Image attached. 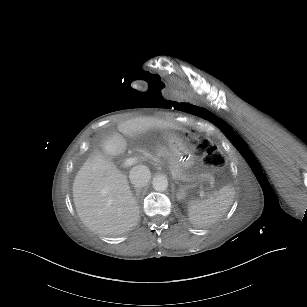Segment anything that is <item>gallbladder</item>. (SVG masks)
Segmentation results:
<instances>
[{
	"instance_id": "bac80fb5",
	"label": "gallbladder",
	"mask_w": 307,
	"mask_h": 307,
	"mask_svg": "<svg viewBox=\"0 0 307 307\" xmlns=\"http://www.w3.org/2000/svg\"><path fill=\"white\" fill-rule=\"evenodd\" d=\"M112 142V146L110 143ZM122 146V138L118 134H112L103 141V147L106 152L117 153Z\"/></svg>"
}]
</instances>
